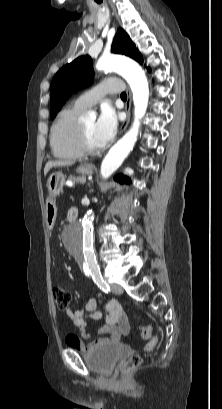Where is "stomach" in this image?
<instances>
[{
	"mask_svg": "<svg viewBox=\"0 0 222 409\" xmlns=\"http://www.w3.org/2000/svg\"><path fill=\"white\" fill-rule=\"evenodd\" d=\"M77 172L82 175L92 174L93 168L90 165H80L77 168ZM66 176L62 172H53L47 179V189L49 196L46 201L45 212H46V223L49 228L54 226L57 216V206L54 198L58 196L63 191V186L65 184Z\"/></svg>",
	"mask_w": 222,
	"mask_h": 409,
	"instance_id": "stomach-1",
	"label": "stomach"
}]
</instances>
